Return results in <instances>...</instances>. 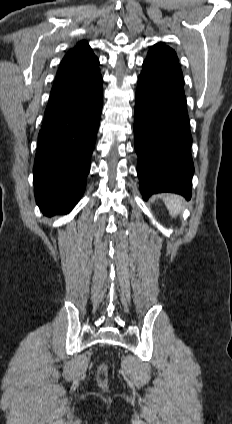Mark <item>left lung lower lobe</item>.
Returning <instances> with one entry per match:
<instances>
[{
	"mask_svg": "<svg viewBox=\"0 0 232 424\" xmlns=\"http://www.w3.org/2000/svg\"><path fill=\"white\" fill-rule=\"evenodd\" d=\"M134 134L143 198L174 192L190 199L192 136L178 62H143L135 96Z\"/></svg>",
	"mask_w": 232,
	"mask_h": 424,
	"instance_id": "1",
	"label": "left lung lower lobe"
}]
</instances>
